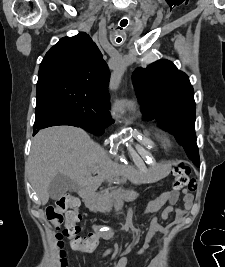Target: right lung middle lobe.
<instances>
[{
    "label": "right lung middle lobe",
    "mask_w": 225,
    "mask_h": 267,
    "mask_svg": "<svg viewBox=\"0 0 225 267\" xmlns=\"http://www.w3.org/2000/svg\"><path fill=\"white\" fill-rule=\"evenodd\" d=\"M37 94L57 103L79 126L94 135H102L113 121L109 115V99L92 87L77 81L50 77L37 82Z\"/></svg>",
    "instance_id": "obj_1"
}]
</instances>
